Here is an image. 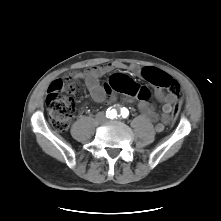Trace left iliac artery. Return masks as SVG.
Masks as SVG:
<instances>
[{
  "label": "left iliac artery",
  "instance_id": "obj_1",
  "mask_svg": "<svg viewBox=\"0 0 221 221\" xmlns=\"http://www.w3.org/2000/svg\"><path fill=\"white\" fill-rule=\"evenodd\" d=\"M121 115H122L123 118H126L129 115V111L126 108H123L121 110Z\"/></svg>",
  "mask_w": 221,
  "mask_h": 221
}]
</instances>
